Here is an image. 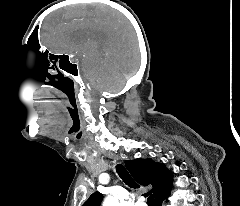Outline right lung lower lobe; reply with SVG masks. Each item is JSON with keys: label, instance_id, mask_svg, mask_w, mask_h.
<instances>
[{"label": "right lung lower lobe", "instance_id": "obj_1", "mask_svg": "<svg viewBox=\"0 0 240 206\" xmlns=\"http://www.w3.org/2000/svg\"><path fill=\"white\" fill-rule=\"evenodd\" d=\"M168 195H169V194H167V195H165V196H163V197L157 199V200L155 201V205H156V206H161L163 200L166 199V198L168 197Z\"/></svg>", "mask_w": 240, "mask_h": 206}]
</instances>
